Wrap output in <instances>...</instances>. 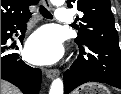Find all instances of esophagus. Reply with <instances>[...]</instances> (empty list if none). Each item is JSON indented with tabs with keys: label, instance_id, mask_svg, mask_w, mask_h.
<instances>
[{
	"label": "esophagus",
	"instance_id": "esophagus-1",
	"mask_svg": "<svg viewBox=\"0 0 121 94\" xmlns=\"http://www.w3.org/2000/svg\"><path fill=\"white\" fill-rule=\"evenodd\" d=\"M42 2L46 8H51V3L49 0H42ZM45 73L47 78L53 79L58 75L59 71L57 69H47Z\"/></svg>",
	"mask_w": 121,
	"mask_h": 94
}]
</instances>
